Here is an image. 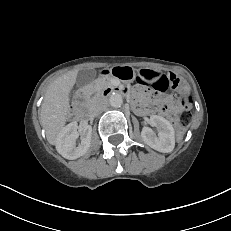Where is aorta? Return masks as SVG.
I'll return each instance as SVG.
<instances>
[{"mask_svg": "<svg viewBox=\"0 0 231 231\" xmlns=\"http://www.w3.org/2000/svg\"><path fill=\"white\" fill-rule=\"evenodd\" d=\"M109 103L112 107L118 108L123 104L122 96L118 93H113L109 97Z\"/></svg>", "mask_w": 231, "mask_h": 231, "instance_id": "aorta-1", "label": "aorta"}]
</instances>
